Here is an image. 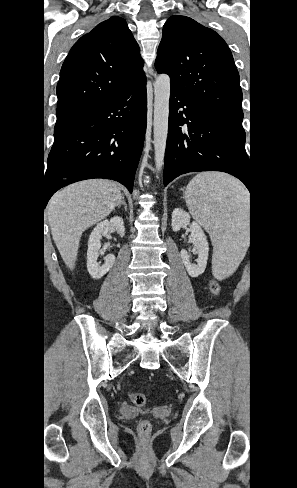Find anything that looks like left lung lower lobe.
I'll list each match as a JSON object with an SVG mask.
<instances>
[{
  "label": "left lung lower lobe",
  "instance_id": "obj_1",
  "mask_svg": "<svg viewBox=\"0 0 297 488\" xmlns=\"http://www.w3.org/2000/svg\"><path fill=\"white\" fill-rule=\"evenodd\" d=\"M242 126L216 116L171 90L164 186L188 172L222 171L252 191Z\"/></svg>",
  "mask_w": 297,
  "mask_h": 488
}]
</instances>
